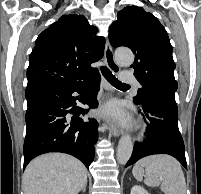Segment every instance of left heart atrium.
<instances>
[{
    "mask_svg": "<svg viewBox=\"0 0 201 194\" xmlns=\"http://www.w3.org/2000/svg\"><path fill=\"white\" fill-rule=\"evenodd\" d=\"M102 114L115 123L124 124L126 122L125 115L117 103L108 104L103 108Z\"/></svg>",
    "mask_w": 201,
    "mask_h": 194,
    "instance_id": "obj_1",
    "label": "left heart atrium"
}]
</instances>
